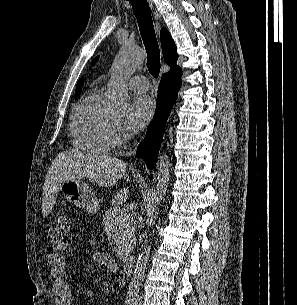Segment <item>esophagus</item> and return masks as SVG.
I'll return each mask as SVG.
<instances>
[{"label": "esophagus", "instance_id": "1", "mask_svg": "<svg viewBox=\"0 0 297 305\" xmlns=\"http://www.w3.org/2000/svg\"><path fill=\"white\" fill-rule=\"evenodd\" d=\"M147 1H148L149 5H150V7H151V9H152L153 14L155 15V17H160V15H159L158 13H156L155 10H154V3H153V0H147Z\"/></svg>", "mask_w": 297, "mask_h": 305}]
</instances>
